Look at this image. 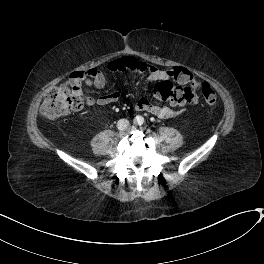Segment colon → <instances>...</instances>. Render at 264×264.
Listing matches in <instances>:
<instances>
[{
	"label": "colon",
	"mask_w": 264,
	"mask_h": 264,
	"mask_svg": "<svg viewBox=\"0 0 264 264\" xmlns=\"http://www.w3.org/2000/svg\"><path fill=\"white\" fill-rule=\"evenodd\" d=\"M168 72L171 79L185 85H174L170 80L161 82L155 89L157 97L174 105L191 103L195 99V92L192 84L189 83L186 71L182 67L176 66ZM97 73L96 69H92L87 75L93 76ZM81 80L82 73L75 72L67 80L50 89L41 103V115L45 119L53 121L83 109L85 97L82 92ZM201 93L207 105L216 104L217 93L209 84L201 86Z\"/></svg>",
	"instance_id": "obj_1"
}]
</instances>
